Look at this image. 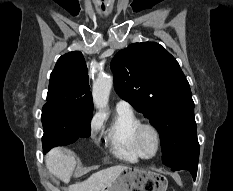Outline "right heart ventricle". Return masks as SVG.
I'll return each instance as SVG.
<instances>
[{
    "label": "right heart ventricle",
    "instance_id": "obj_1",
    "mask_svg": "<svg viewBox=\"0 0 233 191\" xmlns=\"http://www.w3.org/2000/svg\"><path fill=\"white\" fill-rule=\"evenodd\" d=\"M139 124L140 120L132 111L117 110L106 131V141L116 158L131 163L147 158L135 142V130Z\"/></svg>",
    "mask_w": 233,
    "mask_h": 191
}]
</instances>
